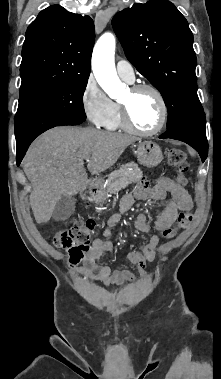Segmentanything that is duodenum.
<instances>
[{
  "mask_svg": "<svg viewBox=\"0 0 221 379\" xmlns=\"http://www.w3.org/2000/svg\"><path fill=\"white\" fill-rule=\"evenodd\" d=\"M97 188H98V182L96 180H90L87 182L85 190H84V197L88 202H97L98 196H97Z\"/></svg>",
  "mask_w": 221,
  "mask_h": 379,
  "instance_id": "duodenum-1",
  "label": "duodenum"
}]
</instances>
